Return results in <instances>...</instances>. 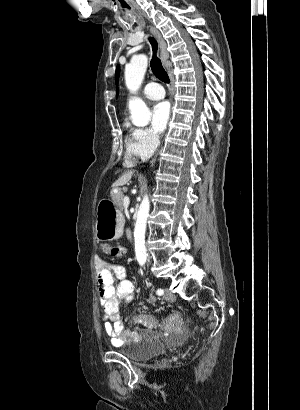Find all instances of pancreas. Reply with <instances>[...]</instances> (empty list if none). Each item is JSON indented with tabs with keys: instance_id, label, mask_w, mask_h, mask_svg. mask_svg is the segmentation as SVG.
<instances>
[{
	"instance_id": "pancreas-1",
	"label": "pancreas",
	"mask_w": 300,
	"mask_h": 410,
	"mask_svg": "<svg viewBox=\"0 0 300 410\" xmlns=\"http://www.w3.org/2000/svg\"><path fill=\"white\" fill-rule=\"evenodd\" d=\"M113 201L116 203L119 209H123V199H124V194L120 190L118 193H111Z\"/></svg>"
}]
</instances>
